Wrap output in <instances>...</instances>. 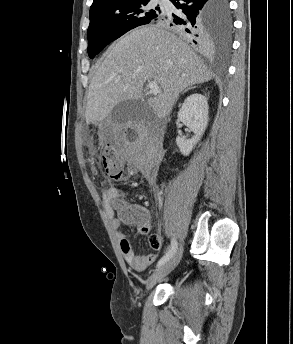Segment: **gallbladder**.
Returning <instances> with one entry per match:
<instances>
[{"mask_svg": "<svg viewBox=\"0 0 293 344\" xmlns=\"http://www.w3.org/2000/svg\"><path fill=\"white\" fill-rule=\"evenodd\" d=\"M145 108L144 103L137 100L120 102L111 111L109 122L112 125H123L131 120H139Z\"/></svg>", "mask_w": 293, "mask_h": 344, "instance_id": "gallbladder-1", "label": "gallbladder"}]
</instances>
